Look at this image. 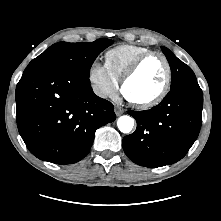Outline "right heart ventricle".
<instances>
[{"label": "right heart ventricle", "mask_w": 221, "mask_h": 221, "mask_svg": "<svg viewBox=\"0 0 221 221\" xmlns=\"http://www.w3.org/2000/svg\"><path fill=\"white\" fill-rule=\"evenodd\" d=\"M149 51H151L149 48L141 45L121 44L106 51L104 65L110 75L118 82L135 60Z\"/></svg>", "instance_id": "right-heart-ventricle-1"}]
</instances>
